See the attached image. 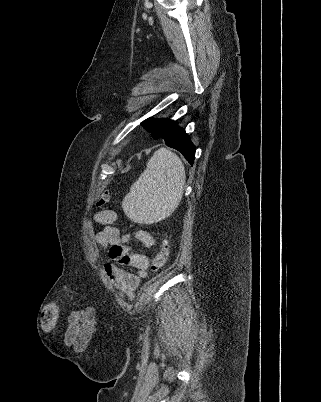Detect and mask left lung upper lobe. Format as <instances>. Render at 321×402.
Masks as SVG:
<instances>
[{
    "label": "left lung upper lobe",
    "instance_id": "left-lung-upper-lobe-1",
    "mask_svg": "<svg viewBox=\"0 0 321 402\" xmlns=\"http://www.w3.org/2000/svg\"><path fill=\"white\" fill-rule=\"evenodd\" d=\"M141 125H142L147 131L151 132V136L156 139V137H157V135H156L157 123L154 122V121L152 120V118H149V119L143 121V122L141 123Z\"/></svg>",
    "mask_w": 321,
    "mask_h": 402
}]
</instances>
